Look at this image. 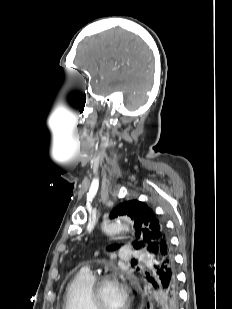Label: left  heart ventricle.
<instances>
[{
    "instance_id": "1",
    "label": "left heart ventricle",
    "mask_w": 232,
    "mask_h": 309,
    "mask_svg": "<svg viewBox=\"0 0 232 309\" xmlns=\"http://www.w3.org/2000/svg\"><path fill=\"white\" fill-rule=\"evenodd\" d=\"M99 301L103 309H124L127 295L123 285L118 282L104 284L99 291Z\"/></svg>"
}]
</instances>
